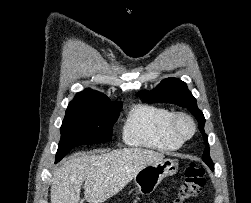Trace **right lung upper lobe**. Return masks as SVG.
Masks as SVG:
<instances>
[{
	"mask_svg": "<svg viewBox=\"0 0 251 203\" xmlns=\"http://www.w3.org/2000/svg\"><path fill=\"white\" fill-rule=\"evenodd\" d=\"M122 103L120 101H110L108 97L104 94L94 91V90H84L76 94L74 99L69 103V105H79V104H115Z\"/></svg>",
	"mask_w": 251,
	"mask_h": 203,
	"instance_id": "1",
	"label": "right lung upper lobe"
}]
</instances>
